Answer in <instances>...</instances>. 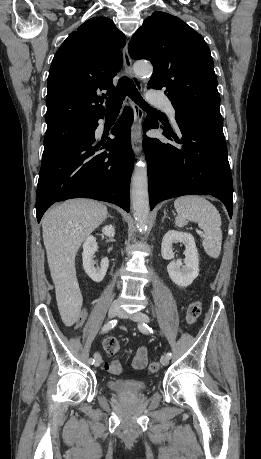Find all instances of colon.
I'll return each instance as SVG.
<instances>
[{
	"label": "colon",
	"instance_id": "5ec220e1",
	"mask_svg": "<svg viewBox=\"0 0 261 459\" xmlns=\"http://www.w3.org/2000/svg\"><path fill=\"white\" fill-rule=\"evenodd\" d=\"M202 303L200 301L191 302L186 310V321L189 324H194L200 313H201ZM103 348L106 353L110 355L117 354L120 350V344L116 338L109 337L105 339L103 343ZM107 370L112 374H119L122 371V366L118 361H111L106 365ZM151 373H156L160 369L158 362H151L148 367Z\"/></svg>",
	"mask_w": 261,
	"mask_h": 459
}]
</instances>
